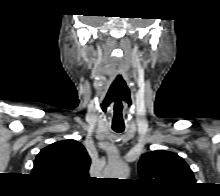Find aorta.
<instances>
[{
	"label": "aorta",
	"instance_id": "1",
	"mask_svg": "<svg viewBox=\"0 0 220 196\" xmlns=\"http://www.w3.org/2000/svg\"><path fill=\"white\" fill-rule=\"evenodd\" d=\"M128 174V165L119 160L110 161L104 172V176H106V178L126 179Z\"/></svg>",
	"mask_w": 220,
	"mask_h": 196
}]
</instances>
